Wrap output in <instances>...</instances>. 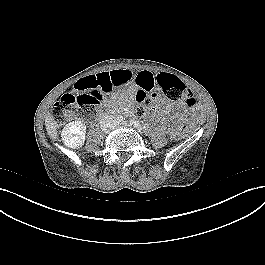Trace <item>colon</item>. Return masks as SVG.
<instances>
[{
    "label": "colon",
    "instance_id": "obj_1",
    "mask_svg": "<svg viewBox=\"0 0 265 265\" xmlns=\"http://www.w3.org/2000/svg\"><path fill=\"white\" fill-rule=\"evenodd\" d=\"M155 84L160 88L162 95L153 94L151 89H143L136 94L138 115H144L150 105H161L164 99L183 102L184 109L190 112L199 108V99L190 94L177 76L159 73L155 77ZM114 87L115 85L104 76H87L78 80L74 85V93L63 95L52 107V120L55 123H63L72 117H94L104 93Z\"/></svg>",
    "mask_w": 265,
    "mask_h": 265
}]
</instances>
